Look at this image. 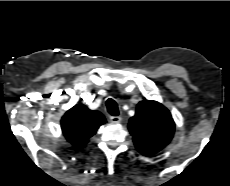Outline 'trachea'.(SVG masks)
<instances>
[{
  "label": "trachea",
  "mask_w": 230,
  "mask_h": 186,
  "mask_svg": "<svg viewBox=\"0 0 230 186\" xmlns=\"http://www.w3.org/2000/svg\"><path fill=\"white\" fill-rule=\"evenodd\" d=\"M106 107H107V111L112 115V116H118L119 114V109H118V106L116 104V102L109 98L107 101H106Z\"/></svg>",
  "instance_id": "trachea-1"
}]
</instances>
